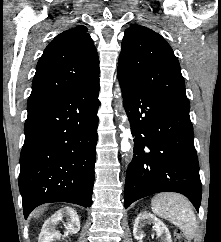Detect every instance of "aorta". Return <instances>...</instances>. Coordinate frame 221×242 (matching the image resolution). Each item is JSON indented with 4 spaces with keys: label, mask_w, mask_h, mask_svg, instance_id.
<instances>
[{
    "label": "aorta",
    "mask_w": 221,
    "mask_h": 242,
    "mask_svg": "<svg viewBox=\"0 0 221 242\" xmlns=\"http://www.w3.org/2000/svg\"><path fill=\"white\" fill-rule=\"evenodd\" d=\"M117 91H118V94L121 95L118 84H117ZM120 129L122 131L121 150L122 152L127 153L131 150V144L129 142L130 132L123 125H120Z\"/></svg>",
    "instance_id": "aorta-1"
}]
</instances>
